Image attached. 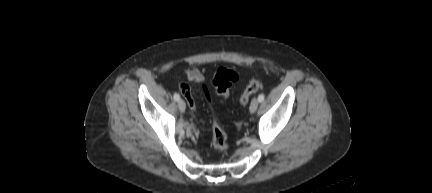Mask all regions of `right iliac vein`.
Masks as SVG:
<instances>
[{
    "label": "right iliac vein",
    "instance_id": "1",
    "mask_svg": "<svg viewBox=\"0 0 432 193\" xmlns=\"http://www.w3.org/2000/svg\"><path fill=\"white\" fill-rule=\"evenodd\" d=\"M178 108H179V110H180L181 112H184V111H185V109H186V104H185L184 100L180 99V100L178 101Z\"/></svg>",
    "mask_w": 432,
    "mask_h": 193
}]
</instances>
